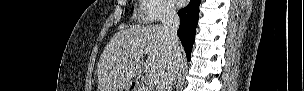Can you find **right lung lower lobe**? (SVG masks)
<instances>
[{
  "label": "right lung lower lobe",
  "instance_id": "1",
  "mask_svg": "<svg viewBox=\"0 0 304 91\" xmlns=\"http://www.w3.org/2000/svg\"><path fill=\"white\" fill-rule=\"evenodd\" d=\"M201 0H191L183 9L179 10L178 15L181 19L177 34L185 49L187 59L190 60L192 46L194 44L197 23L199 19V5Z\"/></svg>",
  "mask_w": 304,
  "mask_h": 91
}]
</instances>
